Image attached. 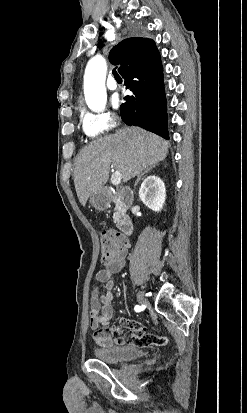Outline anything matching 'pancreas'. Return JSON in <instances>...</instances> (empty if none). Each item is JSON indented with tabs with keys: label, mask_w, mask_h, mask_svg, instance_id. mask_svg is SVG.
<instances>
[{
	"label": "pancreas",
	"mask_w": 247,
	"mask_h": 413,
	"mask_svg": "<svg viewBox=\"0 0 247 413\" xmlns=\"http://www.w3.org/2000/svg\"><path fill=\"white\" fill-rule=\"evenodd\" d=\"M113 202H116V200H113ZM113 221H114V223H117V221H118L117 213H114Z\"/></svg>",
	"instance_id": "pancreas-1"
}]
</instances>
